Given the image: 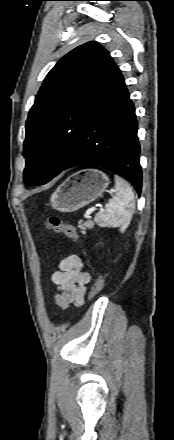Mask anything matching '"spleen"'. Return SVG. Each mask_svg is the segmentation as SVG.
Segmentation results:
<instances>
[{
	"label": "spleen",
	"instance_id": "1",
	"mask_svg": "<svg viewBox=\"0 0 174 440\" xmlns=\"http://www.w3.org/2000/svg\"><path fill=\"white\" fill-rule=\"evenodd\" d=\"M135 208L132 188L123 178L115 175V195L109 199L105 209L95 215L101 227H118L120 232L128 227Z\"/></svg>",
	"mask_w": 174,
	"mask_h": 440
}]
</instances>
